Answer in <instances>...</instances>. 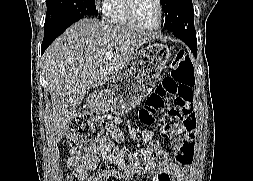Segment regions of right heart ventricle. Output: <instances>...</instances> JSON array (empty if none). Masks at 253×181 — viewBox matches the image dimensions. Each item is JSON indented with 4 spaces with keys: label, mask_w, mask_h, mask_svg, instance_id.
<instances>
[{
    "label": "right heart ventricle",
    "mask_w": 253,
    "mask_h": 181,
    "mask_svg": "<svg viewBox=\"0 0 253 181\" xmlns=\"http://www.w3.org/2000/svg\"><path fill=\"white\" fill-rule=\"evenodd\" d=\"M104 20L114 26L129 27V22L125 12V0H106L103 5Z\"/></svg>",
    "instance_id": "e07e8e85"
}]
</instances>
